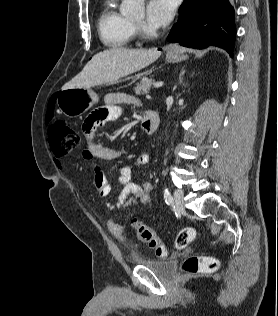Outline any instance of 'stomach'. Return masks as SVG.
Wrapping results in <instances>:
<instances>
[{
  "label": "stomach",
  "instance_id": "0dacf381",
  "mask_svg": "<svg viewBox=\"0 0 278 316\" xmlns=\"http://www.w3.org/2000/svg\"><path fill=\"white\" fill-rule=\"evenodd\" d=\"M187 59L186 55L178 53L167 54L168 62H179ZM98 102V95L91 88L62 89L58 94L57 105L67 117H77L88 111Z\"/></svg>",
  "mask_w": 278,
  "mask_h": 316
}]
</instances>
